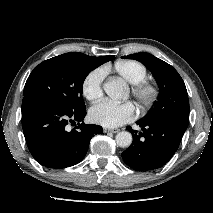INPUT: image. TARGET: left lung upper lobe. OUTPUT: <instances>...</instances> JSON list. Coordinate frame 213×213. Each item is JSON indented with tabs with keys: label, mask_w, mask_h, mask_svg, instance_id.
<instances>
[{
	"label": "left lung upper lobe",
	"mask_w": 213,
	"mask_h": 213,
	"mask_svg": "<svg viewBox=\"0 0 213 213\" xmlns=\"http://www.w3.org/2000/svg\"><path fill=\"white\" fill-rule=\"evenodd\" d=\"M122 58L143 63L152 72L160 88V95L153 110L141 121L173 119L188 125V94L184 81L175 68L149 53L130 54Z\"/></svg>",
	"instance_id": "1"
}]
</instances>
